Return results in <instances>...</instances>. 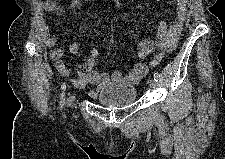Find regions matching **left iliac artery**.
I'll list each match as a JSON object with an SVG mask.
<instances>
[{
  "label": "left iliac artery",
  "instance_id": "left-iliac-artery-1",
  "mask_svg": "<svg viewBox=\"0 0 225 159\" xmlns=\"http://www.w3.org/2000/svg\"><path fill=\"white\" fill-rule=\"evenodd\" d=\"M159 79H160V74H159L158 72H155V73H154V80H155L156 82H158Z\"/></svg>",
  "mask_w": 225,
  "mask_h": 159
}]
</instances>
